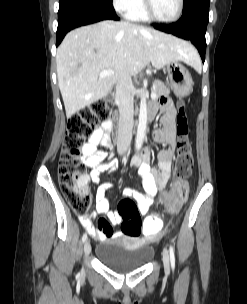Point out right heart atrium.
<instances>
[{"instance_id":"right-heart-atrium-1","label":"right heart atrium","mask_w":247,"mask_h":304,"mask_svg":"<svg viewBox=\"0 0 247 304\" xmlns=\"http://www.w3.org/2000/svg\"><path fill=\"white\" fill-rule=\"evenodd\" d=\"M141 0H112L113 6L119 12L127 13L140 3Z\"/></svg>"}]
</instances>
